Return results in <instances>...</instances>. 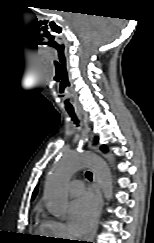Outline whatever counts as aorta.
I'll return each mask as SVG.
<instances>
[{"instance_id":"obj_1","label":"aorta","mask_w":154,"mask_h":243,"mask_svg":"<svg viewBox=\"0 0 154 243\" xmlns=\"http://www.w3.org/2000/svg\"><path fill=\"white\" fill-rule=\"evenodd\" d=\"M83 167H91L101 187L104 197L110 200L113 185L107 164L86 152H64L47 175L45 198L48 211L55 217H63L67 210V184Z\"/></svg>"}]
</instances>
